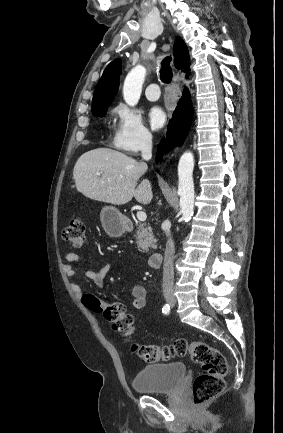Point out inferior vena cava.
<instances>
[{"instance_id": "602c4592", "label": "inferior vena cava", "mask_w": 283, "mask_h": 433, "mask_svg": "<svg viewBox=\"0 0 283 433\" xmlns=\"http://www.w3.org/2000/svg\"><path fill=\"white\" fill-rule=\"evenodd\" d=\"M142 152V158L145 160H149L152 156V140L151 138H144L142 142V146L140 148ZM167 235V243L165 249V257H164V267H163V293H173V261H174V253H175V245L173 243V239L171 237L170 231H165Z\"/></svg>"}]
</instances>
